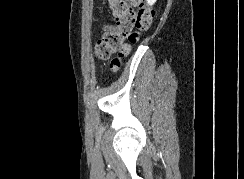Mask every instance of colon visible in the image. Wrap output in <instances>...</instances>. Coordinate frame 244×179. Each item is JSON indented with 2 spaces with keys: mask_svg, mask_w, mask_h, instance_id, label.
Wrapping results in <instances>:
<instances>
[{
  "mask_svg": "<svg viewBox=\"0 0 244 179\" xmlns=\"http://www.w3.org/2000/svg\"><path fill=\"white\" fill-rule=\"evenodd\" d=\"M140 0H111L109 5L115 17L116 30L102 35L95 47L98 60H107L113 54L110 65L113 70L121 67L131 47L147 32L152 24L154 10L138 4Z\"/></svg>",
  "mask_w": 244,
  "mask_h": 179,
  "instance_id": "obj_1",
  "label": "colon"
}]
</instances>
